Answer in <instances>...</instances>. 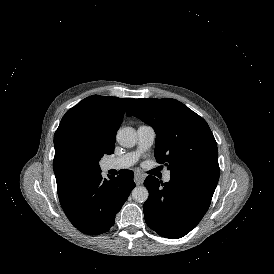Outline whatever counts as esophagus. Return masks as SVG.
Masks as SVG:
<instances>
[{
  "label": "esophagus",
  "mask_w": 274,
  "mask_h": 274,
  "mask_svg": "<svg viewBox=\"0 0 274 274\" xmlns=\"http://www.w3.org/2000/svg\"><path fill=\"white\" fill-rule=\"evenodd\" d=\"M144 181V176L140 173H135L134 175V182L137 184V185H141Z\"/></svg>",
  "instance_id": "1"
}]
</instances>
